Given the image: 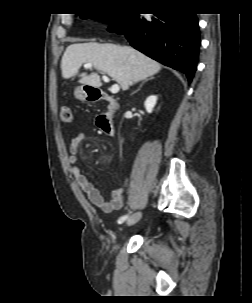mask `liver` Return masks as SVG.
Masks as SVG:
<instances>
[{"instance_id":"6515ba94","label":"liver","mask_w":252,"mask_h":303,"mask_svg":"<svg viewBox=\"0 0 252 303\" xmlns=\"http://www.w3.org/2000/svg\"><path fill=\"white\" fill-rule=\"evenodd\" d=\"M84 63H91L98 71L108 74L127 90L133 82L158 73L161 65L128 46L99 43H75L67 47L61 60L62 77L69 79L79 73ZM79 82L92 87L102 85L97 73L79 75Z\"/></svg>"}]
</instances>
